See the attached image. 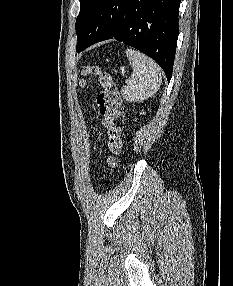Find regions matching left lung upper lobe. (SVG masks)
Wrapping results in <instances>:
<instances>
[{
	"label": "left lung upper lobe",
	"instance_id": "obj_1",
	"mask_svg": "<svg viewBox=\"0 0 233 286\" xmlns=\"http://www.w3.org/2000/svg\"><path fill=\"white\" fill-rule=\"evenodd\" d=\"M98 0H80V12L76 19V34L79 37Z\"/></svg>",
	"mask_w": 233,
	"mask_h": 286
}]
</instances>
